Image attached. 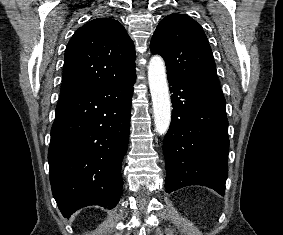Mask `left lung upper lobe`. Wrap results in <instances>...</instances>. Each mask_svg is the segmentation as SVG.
Masks as SVG:
<instances>
[{"label": "left lung upper lobe", "mask_w": 283, "mask_h": 235, "mask_svg": "<svg viewBox=\"0 0 283 235\" xmlns=\"http://www.w3.org/2000/svg\"><path fill=\"white\" fill-rule=\"evenodd\" d=\"M150 49L164 58L167 75L220 88L208 39L191 17L177 13L166 16L155 30Z\"/></svg>", "instance_id": "left-lung-upper-lobe-1"}]
</instances>
